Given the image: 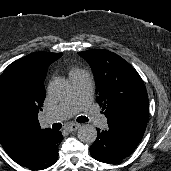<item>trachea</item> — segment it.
<instances>
[{"instance_id": "3493384b", "label": "trachea", "mask_w": 171, "mask_h": 171, "mask_svg": "<svg viewBox=\"0 0 171 171\" xmlns=\"http://www.w3.org/2000/svg\"><path fill=\"white\" fill-rule=\"evenodd\" d=\"M87 121H89V119L87 117H85V116H80V117L77 118V122H79V123H84V122H87ZM61 127H62L61 123H54L52 125V128L54 130H59Z\"/></svg>"}]
</instances>
